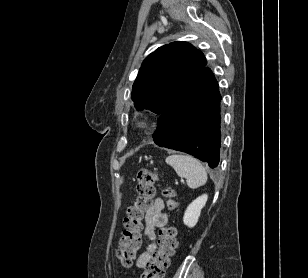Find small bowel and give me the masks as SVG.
I'll return each instance as SVG.
<instances>
[{
	"instance_id": "obj_1",
	"label": "small bowel",
	"mask_w": 308,
	"mask_h": 278,
	"mask_svg": "<svg viewBox=\"0 0 308 278\" xmlns=\"http://www.w3.org/2000/svg\"><path fill=\"white\" fill-rule=\"evenodd\" d=\"M167 222L168 216L164 212V202L161 198H156L146 212L144 237L148 242V246L136 260V266L138 268H144L147 262L150 261L156 249V229L165 226Z\"/></svg>"
}]
</instances>
